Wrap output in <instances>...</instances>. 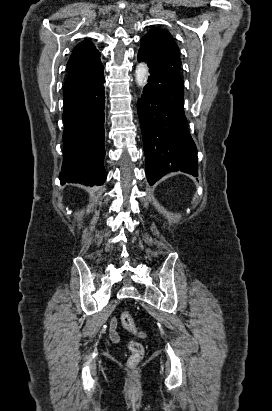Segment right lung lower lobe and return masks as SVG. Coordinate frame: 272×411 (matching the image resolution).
<instances>
[{"mask_svg": "<svg viewBox=\"0 0 272 411\" xmlns=\"http://www.w3.org/2000/svg\"><path fill=\"white\" fill-rule=\"evenodd\" d=\"M104 81L102 75L92 87L64 96L63 165L59 175L62 184L94 186L106 180Z\"/></svg>", "mask_w": 272, "mask_h": 411, "instance_id": "1", "label": "right lung lower lobe"}]
</instances>
